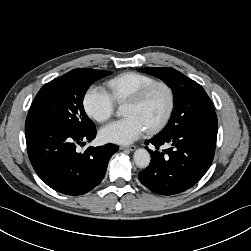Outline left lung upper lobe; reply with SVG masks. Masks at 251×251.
Returning <instances> with one entry per match:
<instances>
[{"label":"left lung upper lobe","instance_id":"left-lung-upper-lobe-1","mask_svg":"<svg viewBox=\"0 0 251 251\" xmlns=\"http://www.w3.org/2000/svg\"><path fill=\"white\" fill-rule=\"evenodd\" d=\"M139 71L156 76L162 79L174 94V109L171 118L165 128L159 134H166L183 125L192 123V118L197 114L202 102L213 105L201 85L186 77L173 68H139ZM216 119V117H214Z\"/></svg>","mask_w":251,"mask_h":251}]
</instances>
